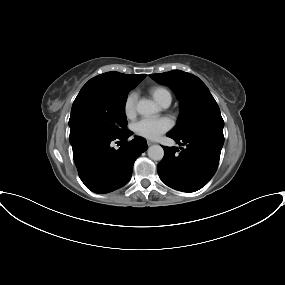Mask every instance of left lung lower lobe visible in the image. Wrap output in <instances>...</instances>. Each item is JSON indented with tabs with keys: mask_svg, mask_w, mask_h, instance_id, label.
<instances>
[{
	"mask_svg": "<svg viewBox=\"0 0 285 285\" xmlns=\"http://www.w3.org/2000/svg\"><path fill=\"white\" fill-rule=\"evenodd\" d=\"M168 137L186 148L163 147L164 157L158 164L160 179L173 189L194 192L202 188L215 174L221 149L223 134L211 131L199 132L188 137ZM179 152V153H178Z\"/></svg>",
	"mask_w": 285,
	"mask_h": 285,
	"instance_id": "left-lung-lower-lobe-1",
	"label": "left lung lower lobe"
}]
</instances>
